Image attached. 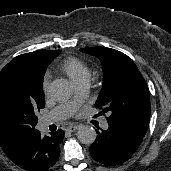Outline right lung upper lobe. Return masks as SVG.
Instances as JSON below:
<instances>
[{"label": "right lung upper lobe", "instance_id": "cb5924a9", "mask_svg": "<svg viewBox=\"0 0 171 171\" xmlns=\"http://www.w3.org/2000/svg\"><path fill=\"white\" fill-rule=\"evenodd\" d=\"M60 52L61 50H39L22 54L20 57L23 58L25 63H27L29 66L39 70V72L43 74L46 71L47 66L60 54ZM0 146L11 160L22 149H15L11 146L1 143Z\"/></svg>", "mask_w": 171, "mask_h": 171}]
</instances>
